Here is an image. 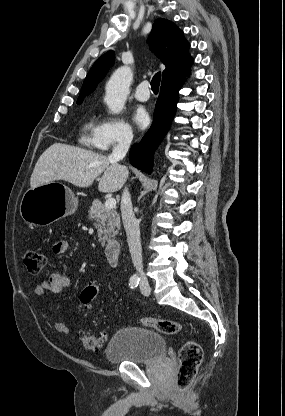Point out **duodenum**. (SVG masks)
<instances>
[{
    "instance_id": "410a0bca",
    "label": "duodenum",
    "mask_w": 285,
    "mask_h": 416,
    "mask_svg": "<svg viewBox=\"0 0 285 416\" xmlns=\"http://www.w3.org/2000/svg\"><path fill=\"white\" fill-rule=\"evenodd\" d=\"M121 245L118 241H110L104 247V255L111 267H117L119 263Z\"/></svg>"
}]
</instances>
